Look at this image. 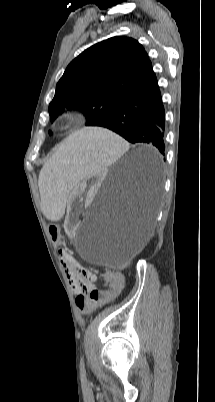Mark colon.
<instances>
[{"label":"colon","mask_w":215,"mask_h":402,"mask_svg":"<svg viewBox=\"0 0 215 402\" xmlns=\"http://www.w3.org/2000/svg\"><path fill=\"white\" fill-rule=\"evenodd\" d=\"M49 233L52 237L50 244L52 246H58L61 243V229L59 225L55 223L50 224ZM63 260L66 263V266L70 272L84 278L92 275V273H90L86 269L71 262L67 257H63ZM105 278L111 282L112 296H121V290L124 287L123 278L115 272L105 273ZM87 294V297L84 295H80L76 298V305L84 311H89L95 306L104 305L110 299V294L108 292L95 288L91 289Z\"/></svg>","instance_id":"obj_1"}]
</instances>
